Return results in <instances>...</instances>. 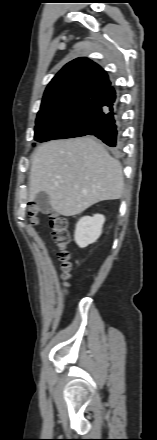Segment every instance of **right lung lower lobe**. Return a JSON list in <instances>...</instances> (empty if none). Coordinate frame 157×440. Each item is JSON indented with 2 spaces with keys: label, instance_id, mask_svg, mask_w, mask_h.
Instances as JSON below:
<instances>
[{
  "label": "right lung lower lobe",
  "instance_id": "right-lung-lower-lobe-1",
  "mask_svg": "<svg viewBox=\"0 0 157 440\" xmlns=\"http://www.w3.org/2000/svg\"><path fill=\"white\" fill-rule=\"evenodd\" d=\"M91 134L102 140L110 147H118V137L121 130L117 105L109 111L103 112L87 126Z\"/></svg>",
  "mask_w": 157,
  "mask_h": 440
}]
</instances>
